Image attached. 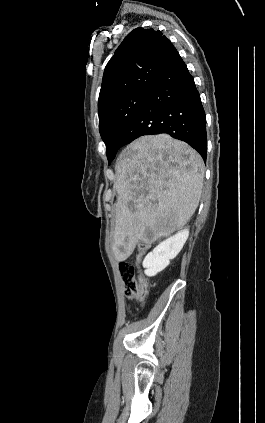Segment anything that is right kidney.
I'll return each instance as SVG.
<instances>
[{
	"label": "right kidney",
	"mask_w": 265,
	"mask_h": 423,
	"mask_svg": "<svg viewBox=\"0 0 265 423\" xmlns=\"http://www.w3.org/2000/svg\"><path fill=\"white\" fill-rule=\"evenodd\" d=\"M188 236L189 231L187 229L181 230L154 248L143 261L145 274L152 277L163 271L169 265L170 260L179 254Z\"/></svg>",
	"instance_id": "ca27d5eb"
}]
</instances>
